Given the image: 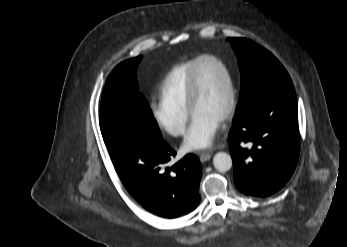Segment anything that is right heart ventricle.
Returning a JSON list of instances; mask_svg holds the SVG:
<instances>
[{
  "instance_id": "1",
  "label": "right heart ventricle",
  "mask_w": 347,
  "mask_h": 247,
  "mask_svg": "<svg viewBox=\"0 0 347 247\" xmlns=\"http://www.w3.org/2000/svg\"><path fill=\"white\" fill-rule=\"evenodd\" d=\"M198 59L195 58L178 64L166 74L160 87L162 100L169 104L188 109L187 94L190 72Z\"/></svg>"
}]
</instances>
